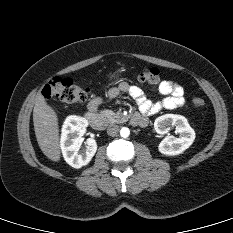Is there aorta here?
<instances>
[{"label":"aorta","instance_id":"1","mask_svg":"<svg viewBox=\"0 0 233 233\" xmlns=\"http://www.w3.org/2000/svg\"><path fill=\"white\" fill-rule=\"evenodd\" d=\"M120 135H121V137L126 138L130 135V130L127 127H123L120 130Z\"/></svg>","mask_w":233,"mask_h":233}]
</instances>
